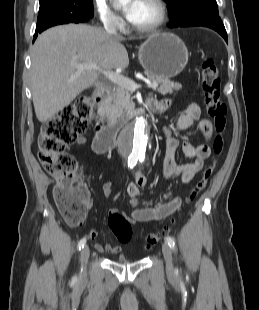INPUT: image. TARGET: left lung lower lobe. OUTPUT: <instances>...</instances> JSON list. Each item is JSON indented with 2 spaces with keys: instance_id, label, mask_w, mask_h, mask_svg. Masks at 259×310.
<instances>
[{
  "instance_id": "1",
  "label": "left lung lower lobe",
  "mask_w": 259,
  "mask_h": 310,
  "mask_svg": "<svg viewBox=\"0 0 259 310\" xmlns=\"http://www.w3.org/2000/svg\"><path fill=\"white\" fill-rule=\"evenodd\" d=\"M190 26H204V27L211 28L217 31L225 39V41H227V33H226V30L223 24H213V23H207V22H202V21H191V22H185L183 24H179L174 27H190Z\"/></svg>"
}]
</instances>
